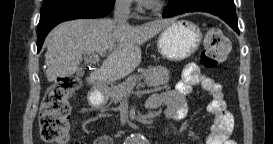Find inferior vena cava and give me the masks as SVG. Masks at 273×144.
<instances>
[{
	"mask_svg": "<svg viewBox=\"0 0 273 144\" xmlns=\"http://www.w3.org/2000/svg\"><path fill=\"white\" fill-rule=\"evenodd\" d=\"M131 0H116L114 10V21L118 25H127L130 14Z\"/></svg>",
	"mask_w": 273,
	"mask_h": 144,
	"instance_id": "602c4592",
	"label": "inferior vena cava"
}]
</instances>
